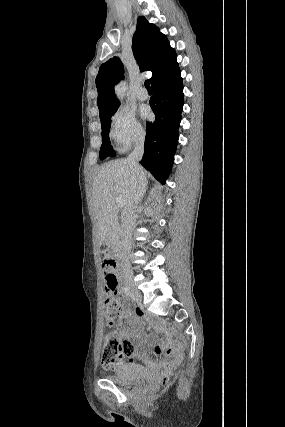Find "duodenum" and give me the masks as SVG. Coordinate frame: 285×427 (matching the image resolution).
<instances>
[{
    "label": "duodenum",
    "mask_w": 285,
    "mask_h": 427,
    "mask_svg": "<svg viewBox=\"0 0 285 427\" xmlns=\"http://www.w3.org/2000/svg\"><path fill=\"white\" fill-rule=\"evenodd\" d=\"M113 226H114V225H111V226H110V229H112V228H113Z\"/></svg>",
    "instance_id": "1"
}]
</instances>
